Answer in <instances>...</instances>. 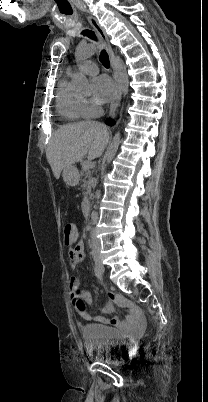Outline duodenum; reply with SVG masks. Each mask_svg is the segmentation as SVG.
Listing matches in <instances>:
<instances>
[{"label": "duodenum", "mask_w": 208, "mask_h": 402, "mask_svg": "<svg viewBox=\"0 0 208 402\" xmlns=\"http://www.w3.org/2000/svg\"><path fill=\"white\" fill-rule=\"evenodd\" d=\"M82 210L85 215L89 214L90 212V202L88 199H85L82 203Z\"/></svg>", "instance_id": "1"}]
</instances>
